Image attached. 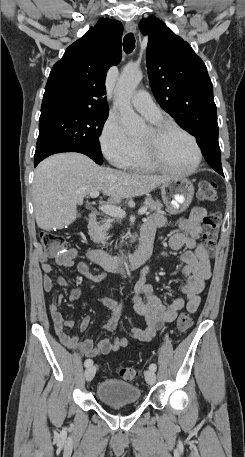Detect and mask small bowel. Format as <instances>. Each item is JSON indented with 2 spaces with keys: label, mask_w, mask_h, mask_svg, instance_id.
I'll return each instance as SVG.
<instances>
[{
  "label": "small bowel",
  "mask_w": 245,
  "mask_h": 457,
  "mask_svg": "<svg viewBox=\"0 0 245 457\" xmlns=\"http://www.w3.org/2000/svg\"><path fill=\"white\" fill-rule=\"evenodd\" d=\"M206 215L207 212L203 207H193L189 215L177 223L181 231L172 234L169 240V245L172 249H186L181 255V260L184 263L183 274L187 278L186 283L181 286V291L185 298H177L168 305L163 304L155 294L152 285L146 283V275L149 269L145 268L134 288L133 306L135 311L145 319L147 327L145 329L132 327L126 336L114 340L102 339L95 346L91 339L81 340L76 335L67 332V329L72 328L73 321L63 317L60 311L63 296L56 294L50 299L49 310L59 340L66 347L88 357L106 355L127 347L131 340L150 341L164 324L173 322L177 318L178 312L184 307L190 313L195 312L200 305V294L204 289L205 282L211 275L208 253L198 243L202 232V223ZM166 225L167 219L163 214L159 212L152 214L142 229V247L152 251L156 233ZM74 256L75 251L70 249L66 253L56 255L55 261L60 266L71 268L75 266ZM49 260L50 257L47 255L40 257L43 288L46 292H51L56 284L60 286L68 285L62 277H52L53 267ZM76 269L81 275L94 282H99L104 278L103 274H93L85 263L76 264ZM80 294V289H73L69 300L78 299ZM97 299L111 310V315L103 326L104 330L111 332L117 326L121 314V306L103 296H98ZM89 321V317L82 319L79 326L80 331H84L87 328Z\"/></svg>",
  "instance_id": "c3829d8e"
}]
</instances>
